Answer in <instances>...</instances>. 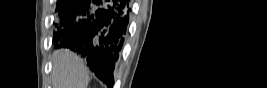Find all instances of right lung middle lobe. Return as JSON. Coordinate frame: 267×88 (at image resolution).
<instances>
[{
	"label": "right lung middle lobe",
	"mask_w": 267,
	"mask_h": 88,
	"mask_svg": "<svg viewBox=\"0 0 267 88\" xmlns=\"http://www.w3.org/2000/svg\"><path fill=\"white\" fill-rule=\"evenodd\" d=\"M68 2L69 0H58L56 10L60 11Z\"/></svg>",
	"instance_id": "dd1d6c3e"
}]
</instances>
